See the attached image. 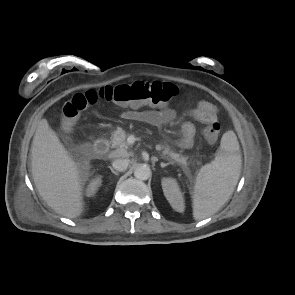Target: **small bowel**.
Instances as JSON below:
<instances>
[{
    "instance_id": "small-bowel-1",
    "label": "small bowel",
    "mask_w": 295,
    "mask_h": 295,
    "mask_svg": "<svg viewBox=\"0 0 295 295\" xmlns=\"http://www.w3.org/2000/svg\"><path fill=\"white\" fill-rule=\"evenodd\" d=\"M217 108L212 103L207 101L199 102L193 109V116L200 122L205 123L210 120H216ZM121 118L125 120L143 122L150 125H163L172 121L176 112L174 109L166 107L157 110H138L136 108L124 110L121 113ZM195 126L192 122H186L181 129V137L178 145L181 148H190L194 143Z\"/></svg>"
}]
</instances>
